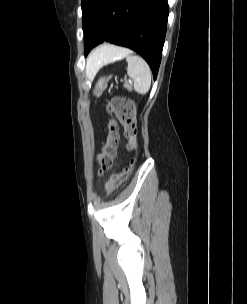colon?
Listing matches in <instances>:
<instances>
[{"mask_svg":"<svg viewBox=\"0 0 247 304\" xmlns=\"http://www.w3.org/2000/svg\"><path fill=\"white\" fill-rule=\"evenodd\" d=\"M109 110L115 114L120 123L125 127L130 138V147L135 146L136 110L132 101L124 97H116L109 104ZM118 148V132L115 124H110L109 132L102 151L97 157L99 171L108 169L116 155Z\"/></svg>","mask_w":247,"mask_h":304,"instance_id":"1","label":"colon"}]
</instances>
